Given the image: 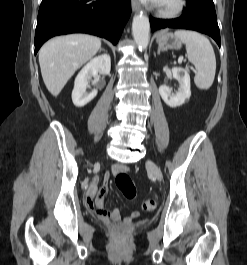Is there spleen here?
<instances>
[{"label":"spleen","mask_w":247,"mask_h":265,"mask_svg":"<svg viewBox=\"0 0 247 265\" xmlns=\"http://www.w3.org/2000/svg\"><path fill=\"white\" fill-rule=\"evenodd\" d=\"M174 35L186 45L188 60L195 66V85L208 90L215 78L216 58L210 41L195 31L177 30Z\"/></svg>","instance_id":"spleen-1"}]
</instances>
